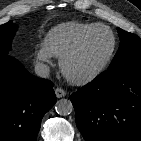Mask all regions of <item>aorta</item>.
I'll use <instances>...</instances> for the list:
<instances>
[{
	"mask_svg": "<svg viewBox=\"0 0 141 141\" xmlns=\"http://www.w3.org/2000/svg\"><path fill=\"white\" fill-rule=\"evenodd\" d=\"M55 110L59 115H69L73 111V104L68 99H60L55 104Z\"/></svg>",
	"mask_w": 141,
	"mask_h": 141,
	"instance_id": "1",
	"label": "aorta"
}]
</instances>
